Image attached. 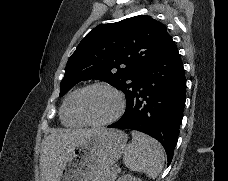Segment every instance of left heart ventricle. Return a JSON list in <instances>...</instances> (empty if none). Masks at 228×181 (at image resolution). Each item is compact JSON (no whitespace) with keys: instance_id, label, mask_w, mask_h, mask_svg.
Here are the masks:
<instances>
[{"instance_id":"b2bd125f","label":"left heart ventricle","mask_w":228,"mask_h":181,"mask_svg":"<svg viewBox=\"0 0 228 181\" xmlns=\"http://www.w3.org/2000/svg\"><path fill=\"white\" fill-rule=\"evenodd\" d=\"M116 105V99L112 92L95 88L85 94L81 101L83 113L91 115V120L98 121L109 115Z\"/></svg>"}]
</instances>
